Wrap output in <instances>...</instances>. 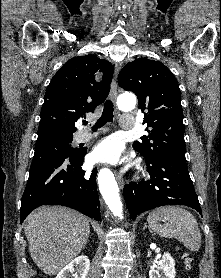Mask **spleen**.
Listing matches in <instances>:
<instances>
[{"instance_id":"obj_1","label":"spleen","mask_w":221,"mask_h":278,"mask_svg":"<svg viewBox=\"0 0 221 278\" xmlns=\"http://www.w3.org/2000/svg\"><path fill=\"white\" fill-rule=\"evenodd\" d=\"M164 221V224H160ZM150 228L161 237L175 238L190 251L201 247V235L195 217L178 206H163L151 211L147 217Z\"/></svg>"}]
</instances>
